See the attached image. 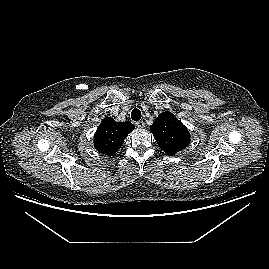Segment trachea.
<instances>
[{
  "label": "trachea",
  "mask_w": 269,
  "mask_h": 269,
  "mask_svg": "<svg viewBox=\"0 0 269 269\" xmlns=\"http://www.w3.org/2000/svg\"><path fill=\"white\" fill-rule=\"evenodd\" d=\"M131 118L134 121H138L141 119V111L137 108L133 109L131 112Z\"/></svg>",
  "instance_id": "trachea-1"
}]
</instances>
